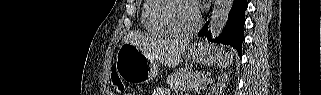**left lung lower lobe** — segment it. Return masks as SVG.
Segmentation results:
<instances>
[{"instance_id":"obj_1","label":"left lung lower lobe","mask_w":321,"mask_h":95,"mask_svg":"<svg viewBox=\"0 0 321 95\" xmlns=\"http://www.w3.org/2000/svg\"><path fill=\"white\" fill-rule=\"evenodd\" d=\"M248 7L246 0H234L229 13L228 21L222 33L216 38H211L208 31V22L204 25L198 36L207 37L208 40L228 44L234 47L241 54V45L244 41L243 26L245 23V10Z\"/></svg>"}]
</instances>
